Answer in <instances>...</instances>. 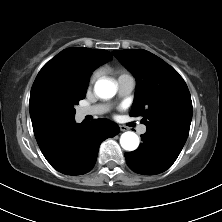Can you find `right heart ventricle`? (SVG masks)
I'll return each mask as SVG.
<instances>
[{
  "mask_svg": "<svg viewBox=\"0 0 222 222\" xmlns=\"http://www.w3.org/2000/svg\"><path fill=\"white\" fill-rule=\"evenodd\" d=\"M121 76H128V74L122 73V74L119 75V77H121Z\"/></svg>",
  "mask_w": 222,
  "mask_h": 222,
  "instance_id": "e07e8e85",
  "label": "right heart ventricle"
}]
</instances>
